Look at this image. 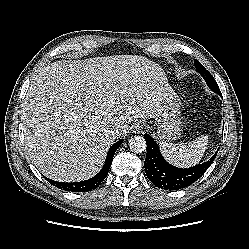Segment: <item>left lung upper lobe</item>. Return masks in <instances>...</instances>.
<instances>
[{
  "label": "left lung upper lobe",
  "instance_id": "1",
  "mask_svg": "<svg viewBox=\"0 0 249 249\" xmlns=\"http://www.w3.org/2000/svg\"><path fill=\"white\" fill-rule=\"evenodd\" d=\"M195 64V68L197 69V71L202 75V77L204 78V80L206 81L207 85L209 86V88L214 91L217 94H221L220 89L218 87L217 82L215 81V79L213 78V76L210 74L209 71H207L202 65L201 63L196 59L194 61Z\"/></svg>",
  "mask_w": 249,
  "mask_h": 249
}]
</instances>
